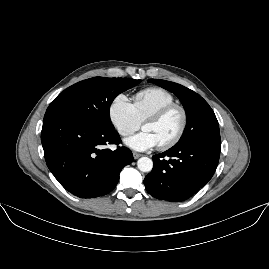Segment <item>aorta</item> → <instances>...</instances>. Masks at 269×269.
Here are the masks:
<instances>
[{
    "instance_id": "obj_1",
    "label": "aorta",
    "mask_w": 269,
    "mask_h": 269,
    "mask_svg": "<svg viewBox=\"0 0 269 269\" xmlns=\"http://www.w3.org/2000/svg\"><path fill=\"white\" fill-rule=\"evenodd\" d=\"M137 167L139 171L143 173H149L153 169V161L148 157H141L137 161Z\"/></svg>"
}]
</instances>
